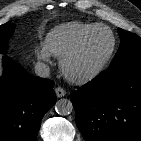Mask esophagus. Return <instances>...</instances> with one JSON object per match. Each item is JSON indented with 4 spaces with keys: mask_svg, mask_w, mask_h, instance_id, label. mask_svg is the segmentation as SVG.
<instances>
[{
    "mask_svg": "<svg viewBox=\"0 0 141 141\" xmlns=\"http://www.w3.org/2000/svg\"><path fill=\"white\" fill-rule=\"evenodd\" d=\"M55 93L58 98L64 97L66 95V91L62 87H57L55 89Z\"/></svg>",
    "mask_w": 141,
    "mask_h": 141,
    "instance_id": "34e87169",
    "label": "esophagus"
}]
</instances>
